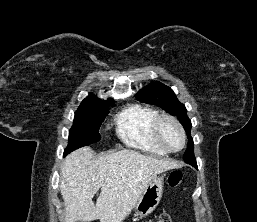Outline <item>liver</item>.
<instances>
[{
	"label": "liver",
	"mask_w": 257,
	"mask_h": 222,
	"mask_svg": "<svg viewBox=\"0 0 257 222\" xmlns=\"http://www.w3.org/2000/svg\"><path fill=\"white\" fill-rule=\"evenodd\" d=\"M179 166L130 149L98 158L89 147L77 149L65 158L61 170L65 222H122L153 177ZM100 188L94 204L92 199Z\"/></svg>",
	"instance_id": "liver-1"
}]
</instances>
